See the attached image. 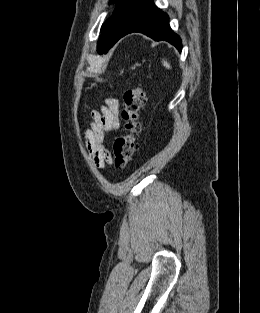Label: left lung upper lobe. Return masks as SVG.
<instances>
[{
  "mask_svg": "<svg viewBox=\"0 0 260 313\" xmlns=\"http://www.w3.org/2000/svg\"><path fill=\"white\" fill-rule=\"evenodd\" d=\"M112 2L118 4L112 16L102 25V35L97 44L99 53H106L153 0H111L110 3Z\"/></svg>",
  "mask_w": 260,
  "mask_h": 313,
  "instance_id": "left-lung-upper-lobe-1",
  "label": "left lung upper lobe"
}]
</instances>
